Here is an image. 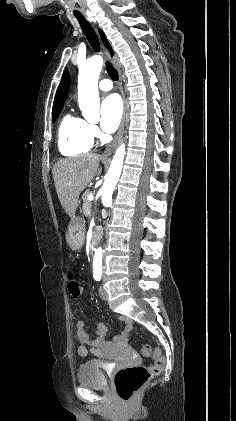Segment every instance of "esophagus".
<instances>
[{"label": "esophagus", "instance_id": "esophagus-1", "mask_svg": "<svg viewBox=\"0 0 236 421\" xmlns=\"http://www.w3.org/2000/svg\"><path fill=\"white\" fill-rule=\"evenodd\" d=\"M106 55L108 56V58H111L110 54L107 50H106ZM120 90H121V95H122V99H123V116H122V120H121V124L119 126V129H118L116 135L114 136L112 142L105 148L102 155H100V159L105 160V161L108 160V157H109L110 153L112 152V150H114V148L117 146V144L121 140L122 135H123L124 126H125L127 102H126V97H125V93H124L123 89L120 88Z\"/></svg>", "mask_w": 236, "mask_h": 421}]
</instances>
